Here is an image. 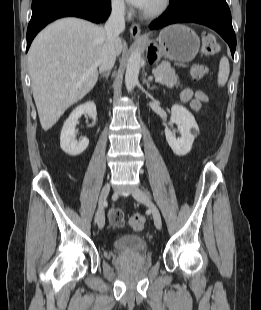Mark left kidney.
Listing matches in <instances>:
<instances>
[{
	"instance_id": "1",
	"label": "left kidney",
	"mask_w": 261,
	"mask_h": 310,
	"mask_svg": "<svg viewBox=\"0 0 261 310\" xmlns=\"http://www.w3.org/2000/svg\"><path fill=\"white\" fill-rule=\"evenodd\" d=\"M173 124H177L181 137L176 138L172 130L166 127V140L174 154L184 156L190 152L195 136L199 132V127L194 116L185 107L177 104L171 108L169 125L172 126Z\"/></svg>"
}]
</instances>
